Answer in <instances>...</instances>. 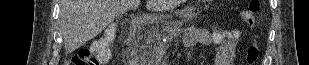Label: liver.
Masks as SVG:
<instances>
[{
    "instance_id": "1",
    "label": "liver",
    "mask_w": 309,
    "mask_h": 65,
    "mask_svg": "<svg viewBox=\"0 0 309 65\" xmlns=\"http://www.w3.org/2000/svg\"><path fill=\"white\" fill-rule=\"evenodd\" d=\"M141 0H61L59 25L66 52L82 47L97 36L115 17L139 7ZM183 0H147L149 11L163 12Z\"/></svg>"
}]
</instances>
